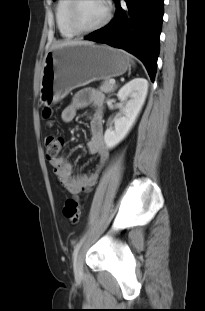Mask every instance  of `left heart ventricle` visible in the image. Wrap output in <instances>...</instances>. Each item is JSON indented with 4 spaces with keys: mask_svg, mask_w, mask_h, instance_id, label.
Wrapping results in <instances>:
<instances>
[{
    "mask_svg": "<svg viewBox=\"0 0 205 311\" xmlns=\"http://www.w3.org/2000/svg\"><path fill=\"white\" fill-rule=\"evenodd\" d=\"M106 15L104 0H81L77 8V20L83 28L99 24Z\"/></svg>",
    "mask_w": 205,
    "mask_h": 311,
    "instance_id": "b2bd125f",
    "label": "left heart ventricle"
}]
</instances>
